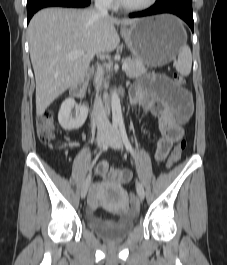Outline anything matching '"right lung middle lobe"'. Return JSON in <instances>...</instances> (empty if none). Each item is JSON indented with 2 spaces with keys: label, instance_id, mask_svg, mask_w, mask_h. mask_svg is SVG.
<instances>
[{
  "label": "right lung middle lobe",
  "instance_id": "right-lung-middle-lobe-1",
  "mask_svg": "<svg viewBox=\"0 0 227 265\" xmlns=\"http://www.w3.org/2000/svg\"><path fill=\"white\" fill-rule=\"evenodd\" d=\"M32 1H34V0H27V3H30V2H32Z\"/></svg>",
  "mask_w": 227,
  "mask_h": 265
}]
</instances>
